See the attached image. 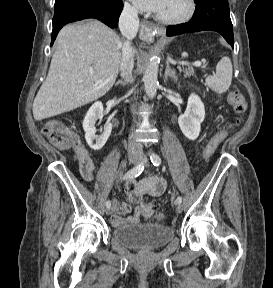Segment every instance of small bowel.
Listing matches in <instances>:
<instances>
[{"label": "small bowel", "instance_id": "1", "mask_svg": "<svg viewBox=\"0 0 273 288\" xmlns=\"http://www.w3.org/2000/svg\"><path fill=\"white\" fill-rule=\"evenodd\" d=\"M74 156L80 165V173L82 178L90 182L94 177L95 165L94 162L82 145L77 141L74 145ZM166 190V181L157 176H147L139 182L130 178L125 184V191L129 202L136 205L134 212L131 213V207L126 202L114 201V215L111 222L114 226H119L127 223H138L142 216H145L141 206H138L142 196H161Z\"/></svg>", "mask_w": 273, "mask_h": 288}]
</instances>
